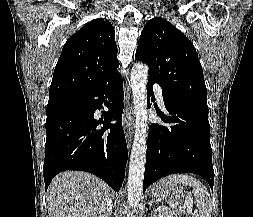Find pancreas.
Masks as SVG:
<instances>
[{"mask_svg": "<svg viewBox=\"0 0 253 217\" xmlns=\"http://www.w3.org/2000/svg\"><path fill=\"white\" fill-rule=\"evenodd\" d=\"M168 211V213L164 211H159V217H175L170 210Z\"/></svg>", "mask_w": 253, "mask_h": 217, "instance_id": "pancreas-1", "label": "pancreas"}]
</instances>
